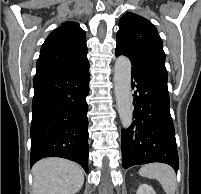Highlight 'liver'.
<instances>
[{"label":"liver","instance_id":"6515ba94","mask_svg":"<svg viewBox=\"0 0 201 194\" xmlns=\"http://www.w3.org/2000/svg\"><path fill=\"white\" fill-rule=\"evenodd\" d=\"M33 194H75L84 183L82 168L61 158H46L32 168Z\"/></svg>","mask_w":201,"mask_h":194}]
</instances>
